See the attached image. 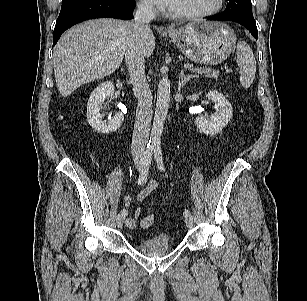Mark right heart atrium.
<instances>
[{
	"label": "right heart atrium",
	"instance_id": "d8ad5b80",
	"mask_svg": "<svg viewBox=\"0 0 307 301\" xmlns=\"http://www.w3.org/2000/svg\"><path fill=\"white\" fill-rule=\"evenodd\" d=\"M139 8L145 12H153L154 6L151 3V0H140Z\"/></svg>",
	"mask_w": 307,
	"mask_h": 301
}]
</instances>
